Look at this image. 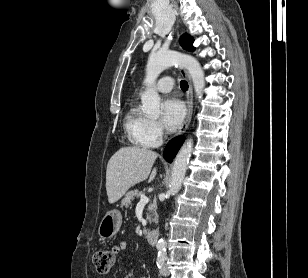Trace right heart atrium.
Returning <instances> with one entry per match:
<instances>
[{
  "label": "right heart atrium",
  "instance_id": "d8ad5b80",
  "mask_svg": "<svg viewBox=\"0 0 308 278\" xmlns=\"http://www.w3.org/2000/svg\"><path fill=\"white\" fill-rule=\"evenodd\" d=\"M164 134L163 127L157 121L148 120L145 132L147 146L156 147L160 145L164 138Z\"/></svg>",
  "mask_w": 308,
  "mask_h": 278
}]
</instances>
